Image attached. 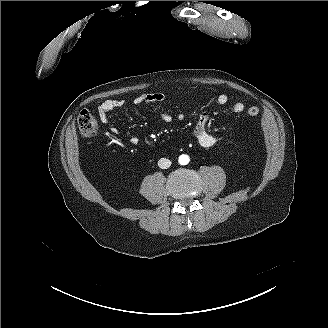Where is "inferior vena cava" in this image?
<instances>
[{"label": "inferior vena cava", "mask_w": 328, "mask_h": 328, "mask_svg": "<svg viewBox=\"0 0 328 328\" xmlns=\"http://www.w3.org/2000/svg\"><path fill=\"white\" fill-rule=\"evenodd\" d=\"M158 165L160 168L162 169H167L171 166V161L167 158H161L159 161H158Z\"/></svg>", "instance_id": "obj_1"}]
</instances>
